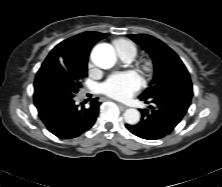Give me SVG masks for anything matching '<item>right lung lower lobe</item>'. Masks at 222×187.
<instances>
[{
	"label": "right lung lower lobe",
	"mask_w": 222,
	"mask_h": 187,
	"mask_svg": "<svg viewBox=\"0 0 222 187\" xmlns=\"http://www.w3.org/2000/svg\"><path fill=\"white\" fill-rule=\"evenodd\" d=\"M79 87L57 62L39 70L34 83V103L47 129L61 139L78 137L96 121L100 102L88 108L75 103Z\"/></svg>",
	"instance_id": "98d812e1"
}]
</instances>
